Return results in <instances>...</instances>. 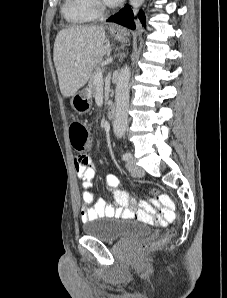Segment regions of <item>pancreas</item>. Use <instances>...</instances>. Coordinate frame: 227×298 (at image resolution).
I'll list each match as a JSON object with an SVG mask.
<instances>
[{
  "instance_id": "pancreas-1",
  "label": "pancreas",
  "mask_w": 227,
  "mask_h": 298,
  "mask_svg": "<svg viewBox=\"0 0 227 298\" xmlns=\"http://www.w3.org/2000/svg\"><path fill=\"white\" fill-rule=\"evenodd\" d=\"M103 72V68L98 67L94 70V72L92 73V75L90 76V80H89V89L92 93L96 92L97 89V84L95 83V78L98 74Z\"/></svg>"
}]
</instances>
